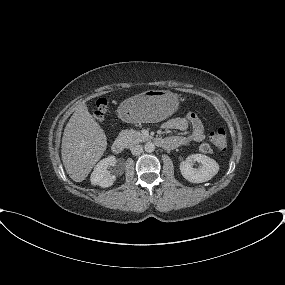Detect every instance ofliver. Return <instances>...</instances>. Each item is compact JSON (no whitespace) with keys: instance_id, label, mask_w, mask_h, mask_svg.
Returning a JSON list of instances; mask_svg holds the SVG:
<instances>
[{"instance_id":"liver-1","label":"liver","mask_w":285,"mask_h":285,"mask_svg":"<svg viewBox=\"0 0 285 285\" xmlns=\"http://www.w3.org/2000/svg\"><path fill=\"white\" fill-rule=\"evenodd\" d=\"M107 147V138L88 111L79 104L67 123L62 137L61 156L66 172L75 182H82Z\"/></svg>"}]
</instances>
